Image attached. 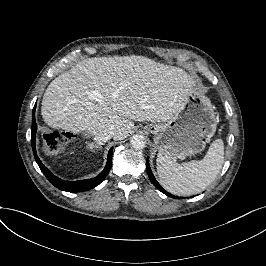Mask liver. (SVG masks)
I'll return each instance as SVG.
<instances>
[{
  "mask_svg": "<svg viewBox=\"0 0 266 266\" xmlns=\"http://www.w3.org/2000/svg\"><path fill=\"white\" fill-rule=\"evenodd\" d=\"M186 71L144 56L85 59L47 87L41 115L48 126L73 132L108 130L125 139L133 121H167L194 92ZM96 91L101 102L91 100Z\"/></svg>",
  "mask_w": 266,
  "mask_h": 266,
  "instance_id": "obj_1",
  "label": "liver"
}]
</instances>
